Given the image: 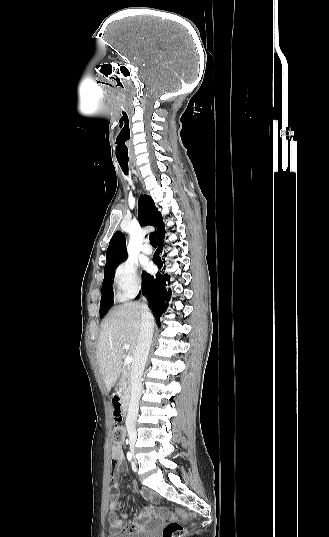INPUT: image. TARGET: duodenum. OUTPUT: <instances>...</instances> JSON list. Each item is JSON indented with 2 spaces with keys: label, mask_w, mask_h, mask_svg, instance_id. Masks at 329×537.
<instances>
[{
  "label": "duodenum",
  "mask_w": 329,
  "mask_h": 537,
  "mask_svg": "<svg viewBox=\"0 0 329 537\" xmlns=\"http://www.w3.org/2000/svg\"><path fill=\"white\" fill-rule=\"evenodd\" d=\"M114 407H120L122 409L121 415L123 417L126 416L128 410V402L126 400L116 397Z\"/></svg>",
  "instance_id": "410a0bca"
}]
</instances>
